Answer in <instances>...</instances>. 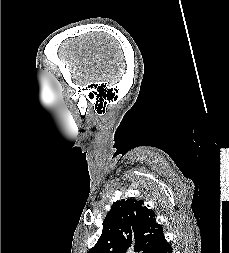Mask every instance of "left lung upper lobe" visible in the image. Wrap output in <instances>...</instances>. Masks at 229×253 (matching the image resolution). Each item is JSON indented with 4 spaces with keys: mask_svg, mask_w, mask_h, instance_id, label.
Listing matches in <instances>:
<instances>
[{
    "mask_svg": "<svg viewBox=\"0 0 229 253\" xmlns=\"http://www.w3.org/2000/svg\"><path fill=\"white\" fill-rule=\"evenodd\" d=\"M163 238L152 210L141 200L122 199L107 213L102 234L88 253H125L130 246L135 252L153 253Z\"/></svg>",
    "mask_w": 229,
    "mask_h": 253,
    "instance_id": "5c2ea615",
    "label": "left lung upper lobe"
}]
</instances>
